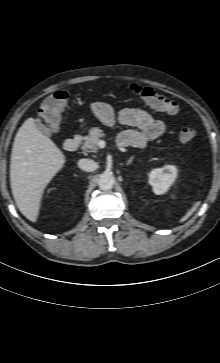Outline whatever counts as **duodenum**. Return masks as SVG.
Segmentation results:
<instances>
[{
  "label": "duodenum",
  "mask_w": 220,
  "mask_h": 363,
  "mask_svg": "<svg viewBox=\"0 0 220 363\" xmlns=\"http://www.w3.org/2000/svg\"><path fill=\"white\" fill-rule=\"evenodd\" d=\"M81 137L73 136L64 142V149L69 152H75L80 148Z\"/></svg>",
  "instance_id": "obj_1"
}]
</instances>
